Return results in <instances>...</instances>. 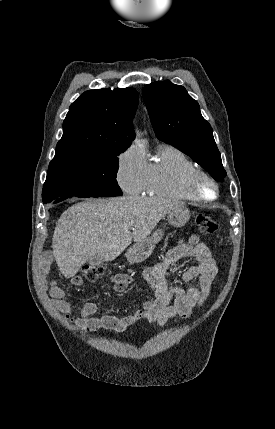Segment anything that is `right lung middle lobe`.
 <instances>
[{
  "mask_svg": "<svg viewBox=\"0 0 275 429\" xmlns=\"http://www.w3.org/2000/svg\"><path fill=\"white\" fill-rule=\"evenodd\" d=\"M123 151L55 154L43 186V203L60 197L121 196L117 184L118 155Z\"/></svg>",
  "mask_w": 275,
  "mask_h": 429,
  "instance_id": "obj_1",
  "label": "right lung middle lobe"
}]
</instances>
